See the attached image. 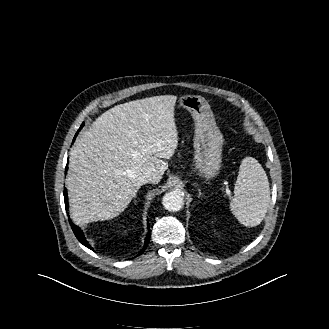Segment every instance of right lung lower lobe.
<instances>
[{
	"label": "right lung lower lobe",
	"mask_w": 329,
	"mask_h": 329,
	"mask_svg": "<svg viewBox=\"0 0 329 329\" xmlns=\"http://www.w3.org/2000/svg\"><path fill=\"white\" fill-rule=\"evenodd\" d=\"M67 168L68 167L66 165L65 174L67 173ZM64 201H65V208H66V210H68V197H67V191H66V189H64ZM69 223H70V226H71V228H72V230H73L76 238L79 240V242L81 244H83L84 246L88 247L89 249L93 250V248L86 241V238L84 237V234H83L82 230L79 227H77L76 225L72 224V222H71L70 219H69ZM148 231L150 232L149 226H148ZM149 232H148L147 237L145 239L144 248H143V250L138 255L142 254L145 251V249L147 248V245H148L149 240H150V233Z\"/></svg>",
	"instance_id": "1"
}]
</instances>
